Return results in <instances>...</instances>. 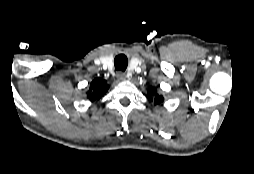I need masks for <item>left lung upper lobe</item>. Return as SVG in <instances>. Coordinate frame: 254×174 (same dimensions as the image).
<instances>
[{"label":"left lung upper lobe","instance_id":"left-lung-upper-lobe-1","mask_svg":"<svg viewBox=\"0 0 254 174\" xmlns=\"http://www.w3.org/2000/svg\"><path fill=\"white\" fill-rule=\"evenodd\" d=\"M149 100L152 101L153 99L150 98ZM162 101H163V96L158 95V94L154 96V104L155 105L161 103Z\"/></svg>","mask_w":254,"mask_h":174}]
</instances>
